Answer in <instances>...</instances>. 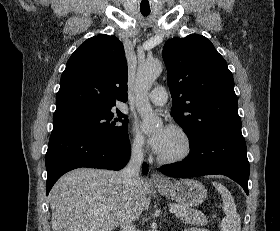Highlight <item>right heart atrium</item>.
<instances>
[{"label": "right heart atrium", "instance_id": "1", "mask_svg": "<svg viewBox=\"0 0 280 231\" xmlns=\"http://www.w3.org/2000/svg\"><path fill=\"white\" fill-rule=\"evenodd\" d=\"M129 147L134 153L141 154L145 151V142L136 131H133L132 133Z\"/></svg>", "mask_w": 280, "mask_h": 231}]
</instances>
